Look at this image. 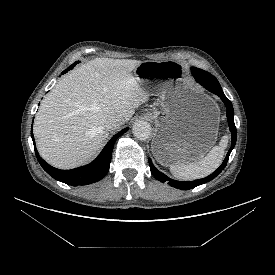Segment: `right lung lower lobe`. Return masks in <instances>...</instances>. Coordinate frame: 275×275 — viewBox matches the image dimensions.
<instances>
[{
	"instance_id": "right-lung-lower-lobe-1",
	"label": "right lung lower lobe",
	"mask_w": 275,
	"mask_h": 275,
	"mask_svg": "<svg viewBox=\"0 0 275 275\" xmlns=\"http://www.w3.org/2000/svg\"><path fill=\"white\" fill-rule=\"evenodd\" d=\"M75 65H71L68 69L62 72V74L66 73L68 70L72 69ZM128 128L123 129L116 135H114L111 140L107 143V145L103 148L99 156L90 164L86 166H82L79 168L71 169V170H60L56 169L49 164H47L40 156L35 146V140L33 137V132L31 131L32 140L34 143V150L36 153V157L42 166V168L53 178L58 181H61L68 185H88L94 182H97L105 177L107 172L109 171L111 155L114 143L117 138L123 135Z\"/></svg>"
}]
</instances>
